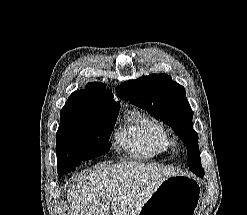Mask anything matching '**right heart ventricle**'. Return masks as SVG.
<instances>
[{"label": "right heart ventricle", "mask_w": 247, "mask_h": 215, "mask_svg": "<svg viewBox=\"0 0 247 215\" xmlns=\"http://www.w3.org/2000/svg\"><path fill=\"white\" fill-rule=\"evenodd\" d=\"M116 142L136 159H155L170 148L168 132L162 122L140 111H132L116 132Z\"/></svg>", "instance_id": "1"}]
</instances>
